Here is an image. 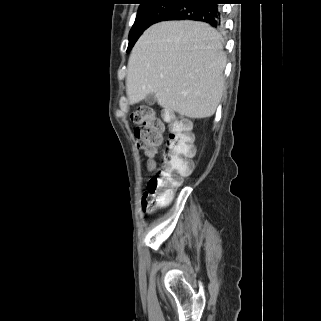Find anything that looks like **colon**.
<instances>
[{"label": "colon", "instance_id": "1", "mask_svg": "<svg viewBox=\"0 0 321 321\" xmlns=\"http://www.w3.org/2000/svg\"><path fill=\"white\" fill-rule=\"evenodd\" d=\"M131 118L138 125L134 130L137 145L153 171L142 200L144 211L151 213L168 204L173 188L180 185L183 177L191 174L195 155L193 136L188 123L171 113H167L162 121L153 110L142 106L132 112ZM165 123L168 135L164 141ZM163 142L164 148L156 162L154 157Z\"/></svg>", "mask_w": 321, "mask_h": 321}]
</instances>
